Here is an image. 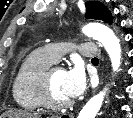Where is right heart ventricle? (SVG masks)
Wrapping results in <instances>:
<instances>
[{
    "label": "right heart ventricle",
    "mask_w": 133,
    "mask_h": 118,
    "mask_svg": "<svg viewBox=\"0 0 133 118\" xmlns=\"http://www.w3.org/2000/svg\"><path fill=\"white\" fill-rule=\"evenodd\" d=\"M54 61L43 49L34 50L20 66L12 85V96L16 105L26 111L42 107L38 95L39 79Z\"/></svg>",
    "instance_id": "1"
}]
</instances>
